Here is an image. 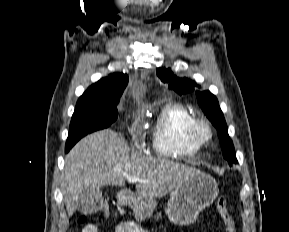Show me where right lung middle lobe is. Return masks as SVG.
I'll return each instance as SVG.
<instances>
[{
  "mask_svg": "<svg viewBox=\"0 0 289 232\" xmlns=\"http://www.w3.org/2000/svg\"><path fill=\"white\" fill-rule=\"evenodd\" d=\"M119 98H79L70 123L65 151L83 136L109 127L118 116Z\"/></svg>",
  "mask_w": 289,
  "mask_h": 232,
  "instance_id": "1",
  "label": "right lung middle lobe"
}]
</instances>
